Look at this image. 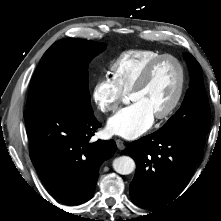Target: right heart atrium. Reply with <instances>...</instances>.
<instances>
[{"mask_svg":"<svg viewBox=\"0 0 221 221\" xmlns=\"http://www.w3.org/2000/svg\"><path fill=\"white\" fill-rule=\"evenodd\" d=\"M91 96L98 110L108 114L118 109L123 100L124 93L112 79L103 76L94 83Z\"/></svg>","mask_w":221,"mask_h":221,"instance_id":"1","label":"right heart atrium"}]
</instances>
